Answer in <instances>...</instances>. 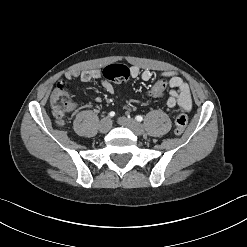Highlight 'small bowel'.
<instances>
[{
    "label": "small bowel",
    "instance_id": "small-bowel-1",
    "mask_svg": "<svg viewBox=\"0 0 247 247\" xmlns=\"http://www.w3.org/2000/svg\"><path fill=\"white\" fill-rule=\"evenodd\" d=\"M130 76L132 78H140L143 81H149L152 77V73L149 70H140L136 66L130 68ZM102 77V72L97 69L89 70H72L64 76L59 83H63L66 87L70 85V81L75 78H79L83 82H89L92 80H98ZM162 80L170 86L169 96L166 104L169 108L179 106L183 111H190L192 106L191 93L188 84L184 79L179 76L176 72L166 71L162 73ZM102 85L104 89L112 93L114 91L113 85L108 81H103ZM96 102H100V97H95Z\"/></svg>",
    "mask_w": 247,
    "mask_h": 247
}]
</instances>
